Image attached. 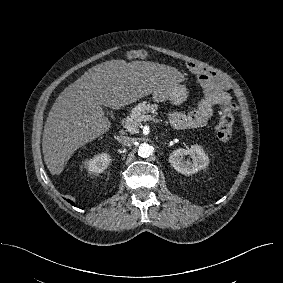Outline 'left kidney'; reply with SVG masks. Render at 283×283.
I'll list each match as a JSON object with an SVG mask.
<instances>
[{
  "mask_svg": "<svg viewBox=\"0 0 283 283\" xmlns=\"http://www.w3.org/2000/svg\"><path fill=\"white\" fill-rule=\"evenodd\" d=\"M189 155L192 159L185 160V156ZM169 162L174 169L181 174L190 175L205 169L209 164V158L202 146L195 144L186 150L179 148L174 150L169 156Z\"/></svg>",
  "mask_w": 283,
  "mask_h": 283,
  "instance_id": "left-kidney-1",
  "label": "left kidney"
}]
</instances>
